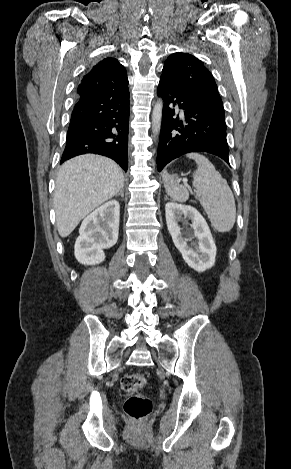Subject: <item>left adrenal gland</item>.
<instances>
[{
  "label": "left adrenal gland",
  "mask_w": 291,
  "mask_h": 469,
  "mask_svg": "<svg viewBox=\"0 0 291 469\" xmlns=\"http://www.w3.org/2000/svg\"><path fill=\"white\" fill-rule=\"evenodd\" d=\"M165 200H168V197H167V196H165Z\"/></svg>",
  "instance_id": "obj_1"
}]
</instances>
